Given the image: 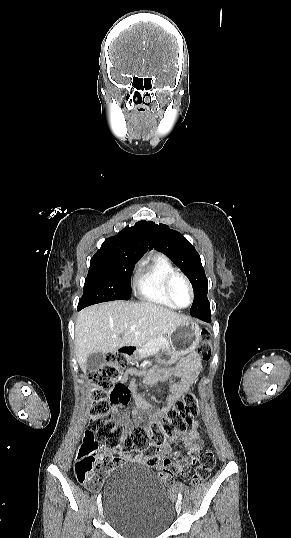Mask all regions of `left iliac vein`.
Listing matches in <instances>:
<instances>
[{"label":"left iliac vein","mask_w":291,"mask_h":538,"mask_svg":"<svg viewBox=\"0 0 291 538\" xmlns=\"http://www.w3.org/2000/svg\"><path fill=\"white\" fill-rule=\"evenodd\" d=\"M181 507H182V503H181V501L178 500L176 502V511H177V513L181 512Z\"/></svg>","instance_id":"obj_1"}]
</instances>
